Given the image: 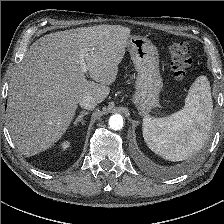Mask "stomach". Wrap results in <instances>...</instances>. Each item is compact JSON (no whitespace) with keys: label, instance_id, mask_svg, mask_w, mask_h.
I'll list each match as a JSON object with an SVG mask.
<instances>
[{"label":"stomach","instance_id":"0dacf381","mask_svg":"<svg viewBox=\"0 0 224 224\" xmlns=\"http://www.w3.org/2000/svg\"><path fill=\"white\" fill-rule=\"evenodd\" d=\"M126 47L137 71L132 102L139 114L146 115L158 106L163 87L157 48L145 37L129 36Z\"/></svg>","mask_w":224,"mask_h":224}]
</instances>
